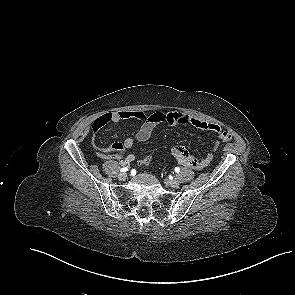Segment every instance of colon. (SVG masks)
Instances as JSON below:
<instances>
[{
  "label": "colon",
  "mask_w": 295,
  "mask_h": 295,
  "mask_svg": "<svg viewBox=\"0 0 295 295\" xmlns=\"http://www.w3.org/2000/svg\"><path fill=\"white\" fill-rule=\"evenodd\" d=\"M151 161V157L150 156H146L144 157L142 160H140V165L142 166H147Z\"/></svg>",
  "instance_id": "5ec220e1"
}]
</instances>
